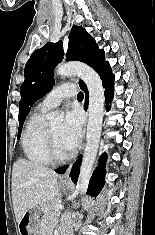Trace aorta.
Instances as JSON below:
<instances>
[{
    "instance_id": "aorta-1",
    "label": "aorta",
    "mask_w": 155,
    "mask_h": 235,
    "mask_svg": "<svg viewBox=\"0 0 155 235\" xmlns=\"http://www.w3.org/2000/svg\"><path fill=\"white\" fill-rule=\"evenodd\" d=\"M55 73L59 76L77 75L87 85L89 91L88 125L86 145L80 169L77 189L80 194H85L96 160L104 115V89L99 75L88 65L80 62H70L59 65ZM51 123L62 121V116L57 112H50L47 116Z\"/></svg>"
}]
</instances>
